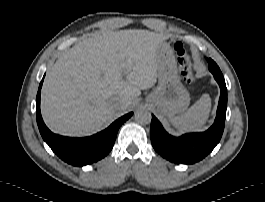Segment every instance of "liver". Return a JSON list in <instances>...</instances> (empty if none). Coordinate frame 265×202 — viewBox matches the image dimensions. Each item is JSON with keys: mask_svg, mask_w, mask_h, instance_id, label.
I'll list each match as a JSON object with an SVG mask.
<instances>
[{"mask_svg": "<svg viewBox=\"0 0 265 202\" xmlns=\"http://www.w3.org/2000/svg\"><path fill=\"white\" fill-rule=\"evenodd\" d=\"M167 37L142 29L85 35L47 72L41 113L51 131L88 136L157 82V47ZM125 77V78H124ZM121 97L119 106L112 99Z\"/></svg>", "mask_w": 265, "mask_h": 202, "instance_id": "obj_1", "label": "liver"}]
</instances>
